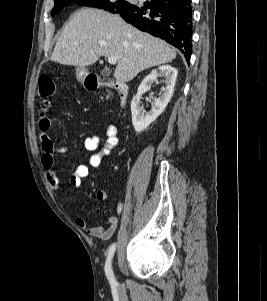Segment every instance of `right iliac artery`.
Returning a JSON list of instances; mask_svg holds the SVG:
<instances>
[{"label":"right iliac artery","instance_id":"right-iliac-artery-1","mask_svg":"<svg viewBox=\"0 0 267 301\" xmlns=\"http://www.w3.org/2000/svg\"><path fill=\"white\" fill-rule=\"evenodd\" d=\"M120 211H121V205L118 206V212H120ZM115 249H116V244L113 243L109 248L108 256H107L106 263H105V274L111 285L116 284V279L114 277L112 266H111V262H112V258H113Z\"/></svg>","mask_w":267,"mask_h":301}]
</instances>
